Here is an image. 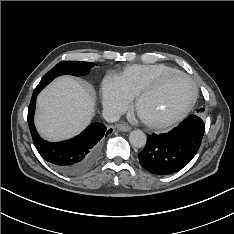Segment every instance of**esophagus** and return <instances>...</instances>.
<instances>
[{
	"instance_id": "esophagus-1",
	"label": "esophagus",
	"mask_w": 234,
	"mask_h": 234,
	"mask_svg": "<svg viewBox=\"0 0 234 234\" xmlns=\"http://www.w3.org/2000/svg\"><path fill=\"white\" fill-rule=\"evenodd\" d=\"M116 128L119 130V131H122V132H128L131 130V127L129 125H126V124H123V123H119L116 125Z\"/></svg>"
}]
</instances>
